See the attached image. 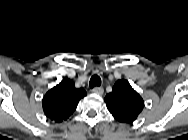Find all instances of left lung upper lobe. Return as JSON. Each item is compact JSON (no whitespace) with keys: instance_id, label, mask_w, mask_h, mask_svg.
Instances as JSON below:
<instances>
[{"instance_id":"left-lung-upper-lobe-1","label":"left lung upper lobe","mask_w":188,"mask_h":140,"mask_svg":"<svg viewBox=\"0 0 188 140\" xmlns=\"http://www.w3.org/2000/svg\"><path fill=\"white\" fill-rule=\"evenodd\" d=\"M104 100L109 112L122 123H132L144 107L141 96L124 79L115 83Z\"/></svg>"}]
</instances>
